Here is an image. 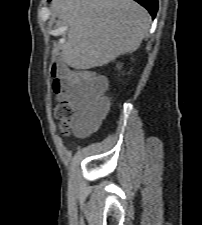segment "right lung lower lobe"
Listing matches in <instances>:
<instances>
[{
  "label": "right lung lower lobe",
  "mask_w": 202,
  "mask_h": 225,
  "mask_svg": "<svg viewBox=\"0 0 202 225\" xmlns=\"http://www.w3.org/2000/svg\"><path fill=\"white\" fill-rule=\"evenodd\" d=\"M135 1L141 4L143 7H145L150 12L153 18L155 17L157 9H158L157 0H135Z\"/></svg>",
  "instance_id": "obj_1"
}]
</instances>
